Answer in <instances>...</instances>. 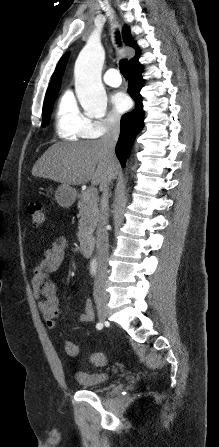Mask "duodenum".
Listing matches in <instances>:
<instances>
[{"instance_id":"410a0bca","label":"duodenum","mask_w":219,"mask_h":447,"mask_svg":"<svg viewBox=\"0 0 219 447\" xmlns=\"http://www.w3.org/2000/svg\"><path fill=\"white\" fill-rule=\"evenodd\" d=\"M80 247L84 255H89L93 247V241L90 238H85L81 241Z\"/></svg>"}]
</instances>
